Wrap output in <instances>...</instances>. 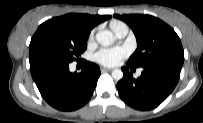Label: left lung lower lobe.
<instances>
[{"label":"left lung lower lobe","instance_id":"0a47b994","mask_svg":"<svg viewBox=\"0 0 203 123\" xmlns=\"http://www.w3.org/2000/svg\"><path fill=\"white\" fill-rule=\"evenodd\" d=\"M131 70L135 67L128 65ZM137 79L123 67V78L117 83L121 99L138 110H151L159 106L173 91L180 77L182 66L177 64H151Z\"/></svg>","mask_w":203,"mask_h":123}]
</instances>
